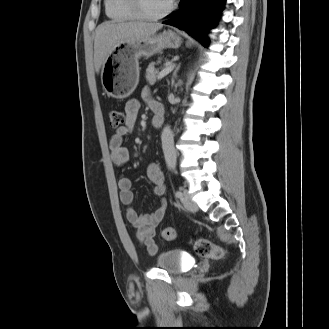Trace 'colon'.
<instances>
[{"label": "colon", "instance_id": "1", "mask_svg": "<svg viewBox=\"0 0 329 329\" xmlns=\"http://www.w3.org/2000/svg\"><path fill=\"white\" fill-rule=\"evenodd\" d=\"M110 125L113 128H120L125 124V114L119 109H112L109 112ZM176 232L173 227H165L162 230V237L166 241H171L175 238ZM192 246L195 253L203 258H211L221 260L225 258V251L213 244L208 238H197L192 241Z\"/></svg>", "mask_w": 329, "mask_h": 329}]
</instances>
